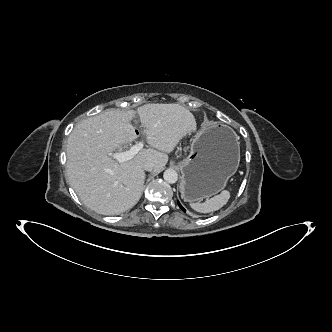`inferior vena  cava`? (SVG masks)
I'll list each match as a JSON object with an SVG mask.
<instances>
[{"instance_id": "1", "label": "inferior vena cava", "mask_w": 332, "mask_h": 332, "mask_svg": "<svg viewBox=\"0 0 332 332\" xmlns=\"http://www.w3.org/2000/svg\"><path fill=\"white\" fill-rule=\"evenodd\" d=\"M154 166L155 165L153 162L148 161L143 164V169L146 171H152L154 169Z\"/></svg>"}]
</instances>
